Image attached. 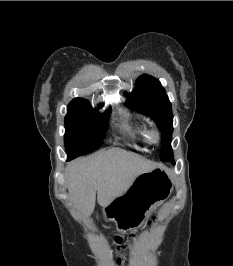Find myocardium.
<instances>
[{"label": "myocardium", "mask_w": 233, "mask_h": 266, "mask_svg": "<svg viewBox=\"0 0 233 266\" xmlns=\"http://www.w3.org/2000/svg\"><path fill=\"white\" fill-rule=\"evenodd\" d=\"M160 131L157 128H152L148 131L149 140L152 142H158L160 140Z\"/></svg>", "instance_id": "obj_1"}]
</instances>
